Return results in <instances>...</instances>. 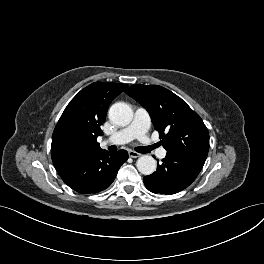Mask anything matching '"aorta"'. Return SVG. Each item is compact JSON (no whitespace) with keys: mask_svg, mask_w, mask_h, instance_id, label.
Masks as SVG:
<instances>
[{"mask_svg":"<svg viewBox=\"0 0 264 264\" xmlns=\"http://www.w3.org/2000/svg\"><path fill=\"white\" fill-rule=\"evenodd\" d=\"M108 117L118 126H127L132 121L133 111L128 104L117 102L110 107ZM136 166L138 171L144 175H150L156 171V161L149 155L139 157Z\"/></svg>","mask_w":264,"mask_h":264,"instance_id":"aorta-1","label":"aorta"}]
</instances>
